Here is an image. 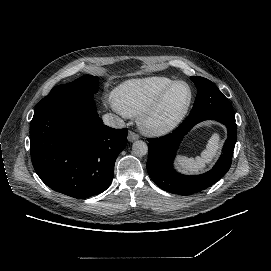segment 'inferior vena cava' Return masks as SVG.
<instances>
[{
    "label": "inferior vena cava",
    "instance_id": "1",
    "mask_svg": "<svg viewBox=\"0 0 271 271\" xmlns=\"http://www.w3.org/2000/svg\"><path fill=\"white\" fill-rule=\"evenodd\" d=\"M102 119L105 125L112 128H123L125 126L124 121L120 117L112 113L104 114Z\"/></svg>",
    "mask_w": 271,
    "mask_h": 271
}]
</instances>
